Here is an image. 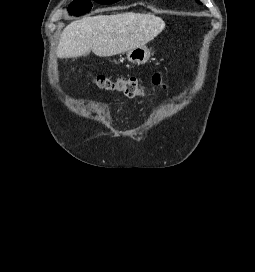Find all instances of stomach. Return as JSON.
Listing matches in <instances>:
<instances>
[{
    "mask_svg": "<svg viewBox=\"0 0 255 272\" xmlns=\"http://www.w3.org/2000/svg\"><path fill=\"white\" fill-rule=\"evenodd\" d=\"M150 57L151 51L145 46L134 48L126 54L127 60L136 65H143L147 63Z\"/></svg>",
    "mask_w": 255,
    "mask_h": 272,
    "instance_id": "0dacf381",
    "label": "stomach"
}]
</instances>
